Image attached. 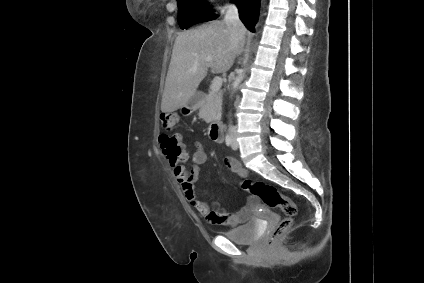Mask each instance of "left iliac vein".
<instances>
[{
  "instance_id": "1",
  "label": "left iliac vein",
  "mask_w": 424,
  "mask_h": 283,
  "mask_svg": "<svg viewBox=\"0 0 424 283\" xmlns=\"http://www.w3.org/2000/svg\"><path fill=\"white\" fill-rule=\"evenodd\" d=\"M231 147H232L233 150H237L238 149V143H237L235 134L232 135V144H231Z\"/></svg>"
}]
</instances>
